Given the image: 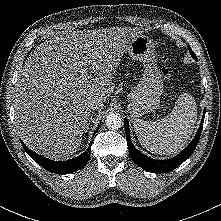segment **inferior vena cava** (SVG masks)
<instances>
[{"mask_svg":"<svg viewBox=\"0 0 221 221\" xmlns=\"http://www.w3.org/2000/svg\"><path fill=\"white\" fill-rule=\"evenodd\" d=\"M87 110L94 111L96 109L102 108L103 103L100 100H90L87 102Z\"/></svg>","mask_w":221,"mask_h":221,"instance_id":"1","label":"inferior vena cava"}]
</instances>
